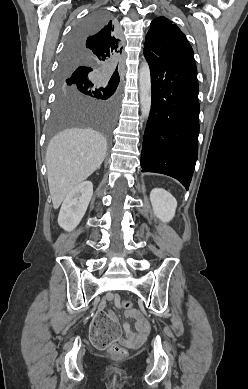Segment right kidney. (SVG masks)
I'll return each mask as SVG.
<instances>
[{
	"mask_svg": "<svg viewBox=\"0 0 248 389\" xmlns=\"http://www.w3.org/2000/svg\"><path fill=\"white\" fill-rule=\"evenodd\" d=\"M93 194L91 181L75 186L66 196L61 206L58 224L66 231L74 230L86 213Z\"/></svg>",
	"mask_w": 248,
	"mask_h": 389,
	"instance_id": "1",
	"label": "right kidney"
}]
</instances>
